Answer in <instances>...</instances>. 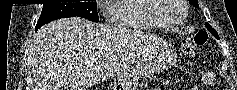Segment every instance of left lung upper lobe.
Here are the masks:
<instances>
[{
	"label": "left lung upper lobe",
	"mask_w": 237,
	"mask_h": 90,
	"mask_svg": "<svg viewBox=\"0 0 237 90\" xmlns=\"http://www.w3.org/2000/svg\"><path fill=\"white\" fill-rule=\"evenodd\" d=\"M189 2H190L193 6H195V7H197V8L199 7L197 0H189ZM206 27H207V29H208L217 39H219L218 34H217V32L215 31V29H213L208 23H206Z\"/></svg>",
	"instance_id": "left-lung-upper-lobe-1"
}]
</instances>
